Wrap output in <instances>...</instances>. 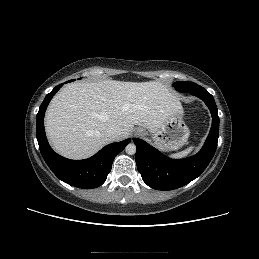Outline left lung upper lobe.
I'll list each match as a JSON object with an SVG mask.
<instances>
[{"label":"left lung upper lobe","mask_w":259,"mask_h":259,"mask_svg":"<svg viewBox=\"0 0 259 259\" xmlns=\"http://www.w3.org/2000/svg\"><path fill=\"white\" fill-rule=\"evenodd\" d=\"M173 86L179 92H195L203 89V87L199 86L198 84L188 82V81H178V82H175Z\"/></svg>","instance_id":"left-lung-upper-lobe-1"}]
</instances>
